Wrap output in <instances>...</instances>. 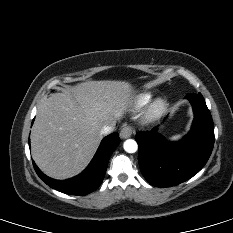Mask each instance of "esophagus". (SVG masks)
<instances>
[{"label":"esophagus","instance_id":"34e87169","mask_svg":"<svg viewBox=\"0 0 233 233\" xmlns=\"http://www.w3.org/2000/svg\"><path fill=\"white\" fill-rule=\"evenodd\" d=\"M134 133V129L131 126H124L120 131V136L123 139L129 138Z\"/></svg>","mask_w":233,"mask_h":233}]
</instances>
